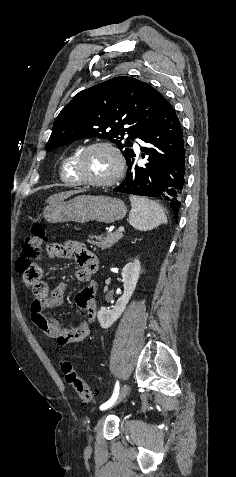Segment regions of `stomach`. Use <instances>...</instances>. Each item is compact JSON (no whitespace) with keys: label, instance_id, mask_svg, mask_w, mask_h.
<instances>
[{"label":"stomach","instance_id":"1","mask_svg":"<svg viewBox=\"0 0 236 477\" xmlns=\"http://www.w3.org/2000/svg\"><path fill=\"white\" fill-rule=\"evenodd\" d=\"M126 215L123 201L108 196L80 195L44 208L43 217L51 223L98 221L111 224Z\"/></svg>","mask_w":236,"mask_h":477}]
</instances>
